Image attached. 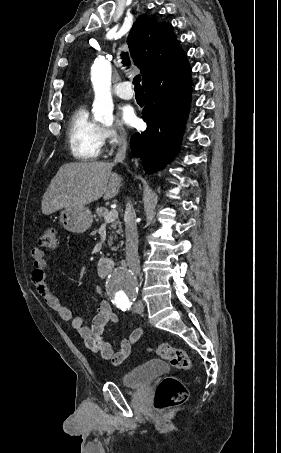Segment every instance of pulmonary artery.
<instances>
[{
	"instance_id": "e3ab8cb5",
	"label": "pulmonary artery",
	"mask_w": 281,
	"mask_h": 453,
	"mask_svg": "<svg viewBox=\"0 0 281 453\" xmlns=\"http://www.w3.org/2000/svg\"><path fill=\"white\" fill-rule=\"evenodd\" d=\"M113 93L123 99H131L134 96L133 91L130 89L129 82H120L113 87Z\"/></svg>"
}]
</instances>
